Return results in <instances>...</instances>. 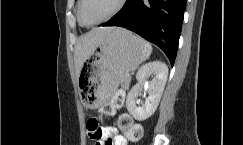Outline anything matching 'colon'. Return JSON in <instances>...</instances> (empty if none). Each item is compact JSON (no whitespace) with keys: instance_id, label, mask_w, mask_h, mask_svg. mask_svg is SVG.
<instances>
[{"instance_id":"1","label":"colon","mask_w":243,"mask_h":145,"mask_svg":"<svg viewBox=\"0 0 243 145\" xmlns=\"http://www.w3.org/2000/svg\"><path fill=\"white\" fill-rule=\"evenodd\" d=\"M125 97L122 92L113 95L110 102L101 107L100 112L104 115H113L117 108L124 103ZM88 134L91 137L98 138L100 136L99 121L96 117H91L87 123ZM118 126L131 141H137L142 137V127L135 123L128 114H121L118 118Z\"/></svg>"}]
</instances>
